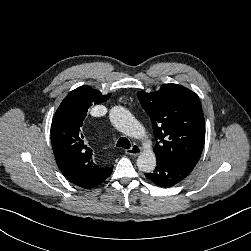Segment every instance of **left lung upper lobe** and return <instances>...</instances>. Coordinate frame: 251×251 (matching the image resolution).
<instances>
[{
  "instance_id": "1",
  "label": "left lung upper lobe",
  "mask_w": 251,
  "mask_h": 251,
  "mask_svg": "<svg viewBox=\"0 0 251 251\" xmlns=\"http://www.w3.org/2000/svg\"><path fill=\"white\" fill-rule=\"evenodd\" d=\"M137 95L152 122L156 158L192 171L205 142V120L198 95L177 84H163L156 92L139 91Z\"/></svg>"
}]
</instances>
